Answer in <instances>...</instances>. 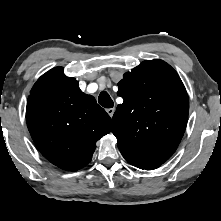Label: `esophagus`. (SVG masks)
Listing matches in <instances>:
<instances>
[{"mask_svg": "<svg viewBox=\"0 0 221 221\" xmlns=\"http://www.w3.org/2000/svg\"><path fill=\"white\" fill-rule=\"evenodd\" d=\"M106 112L108 113L110 117H112L115 112V108H108L106 109Z\"/></svg>", "mask_w": 221, "mask_h": 221, "instance_id": "esophagus-1", "label": "esophagus"}]
</instances>
